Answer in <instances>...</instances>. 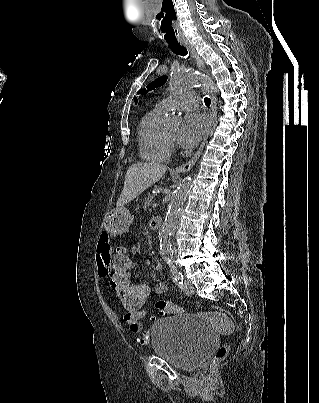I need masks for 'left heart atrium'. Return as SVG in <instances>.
<instances>
[{"instance_id":"left-heart-atrium-1","label":"left heart atrium","mask_w":319,"mask_h":403,"mask_svg":"<svg viewBox=\"0 0 319 403\" xmlns=\"http://www.w3.org/2000/svg\"><path fill=\"white\" fill-rule=\"evenodd\" d=\"M207 128L206 118L196 112L188 113L178 132L179 144L187 149L194 148L200 141Z\"/></svg>"}]
</instances>
